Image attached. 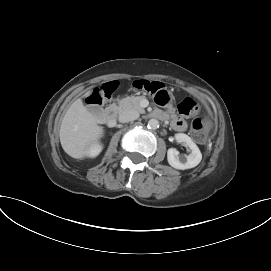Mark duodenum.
Returning a JSON list of instances; mask_svg holds the SVG:
<instances>
[{
	"mask_svg": "<svg viewBox=\"0 0 271 271\" xmlns=\"http://www.w3.org/2000/svg\"><path fill=\"white\" fill-rule=\"evenodd\" d=\"M103 116L105 122L109 125H112L115 123L117 117V109L114 106H110L105 110Z\"/></svg>",
	"mask_w": 271,
	"mask_h": 271,
	"instance_id": "410a0bca",
	"label": "duodenum"
}]
</instances>
